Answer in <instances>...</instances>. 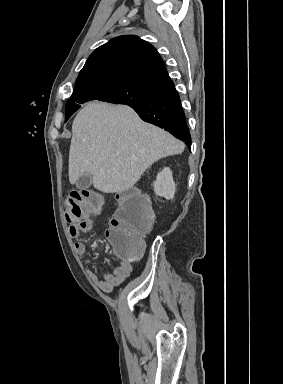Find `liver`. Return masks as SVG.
<instances>
[{"instance_id":"liver-1","label":"liver","mask_w":283,"mask_h":384,"mask_svg":"<svg viewBox=\"0 0 283 384\" xmlns=\"http://www.w3.org/2000/svg\"><path fill=\"white\" fill-rule=\"evenodd\" d=\"M69 182L88 174L96 190L119 194L133 188L154 162L182 154L185 144L140 120L129 106L89 102L72 124Z\"/></svg>"}]
</instances>
